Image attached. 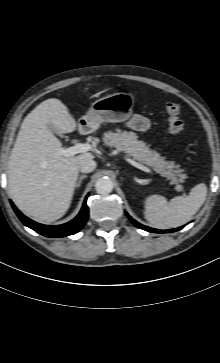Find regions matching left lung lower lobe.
Listing matches in <instances>:
<instances>
[{"mask_svg":"<svg viewBox=\"0 0 220 363\" xmlns=\"http://www.w3.org/2000/svg\"><path fill=\"white\" fill-rule=\"evenodd\" d=\"M128 218L140 229L146 230L148 232H154V233H170V232H175L178 231L180 229H182L183 227H179L176 229H171V230H157V229H153L147 226H144L140 223H138L137 221H135L133 218H131L128 214H127Z\"/></svg>","mask_w":220,"mask_h":363,"instance_id":"1","label":"left lung lower lobe"}]
</instances>
